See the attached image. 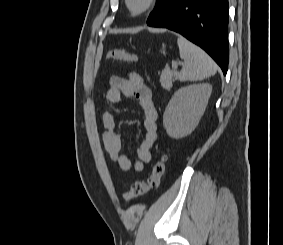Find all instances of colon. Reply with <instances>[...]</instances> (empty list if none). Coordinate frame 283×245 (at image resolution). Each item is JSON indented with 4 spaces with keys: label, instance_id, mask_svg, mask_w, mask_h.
I'll list each match as a JSON object with an SVG mask.
<instances>
[{
    "label": "colon",
    "instance_id": "colon-1",
    "mask_svg": "<svg viewBox=\"0 0 283 245\" xmlns=\"http://www.w3.org/2000/svg\"><path fill=\"white\" fill-rule=\"evenodd\" d=\"M107 58L112 61L133 63L136 62V56L121 48H112ZM166 155L162 154L155 161L152 172L146 181L135 182L129 190L125 191L122 195L125 202H133L136 199L153 192L158 189L161 178L166 170Z\"/></svg>",
    "mask_w": 283,
    "mask_h": 245
}]
</instances>
